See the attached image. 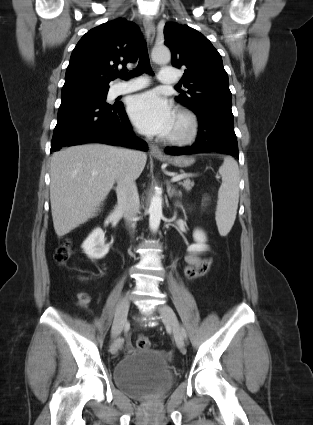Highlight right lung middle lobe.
Listing matches in <instances>:
<instances>
[{"instance_id": "1", "label": "right lung middle lobe", "mask_w": 313, "mask_h": 425, "mask_svg": "<svg viewBox=\"0 0 313 425\" xmlns=\"http://www.w3.org/2000/svg\"><path fill=\"white\" fill-rule=\"evenodd\" d=\"M109 88H101V89H87L84 90L87 93H91L92 95L99 97L103 100H106L107 92Z\"/></svg>"}]
</instances>
